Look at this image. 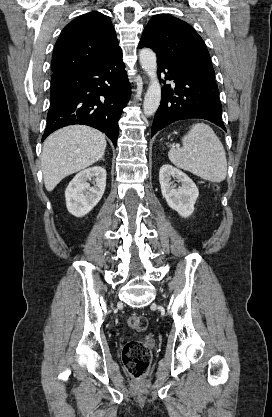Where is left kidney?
<instances>
[{"label": "left kidney", "instance_id": "5707ae66", "mask_svg": "<svg viewBox=\"0 0 272 417\" xmlns=\"http://www.w3.org/2000/svg\"><path fill=\"white\" fill-rule=\"evenodd\" d=\"M172 179L181 183V186L176 187ZM159 182L168 206L177 211L180 216L189 217L194 211V205L199 196L195 183L184 172L169 164L160 168Z\"/></svg>", "mask_w": 272, "mask_h": 417}]
</instances>
